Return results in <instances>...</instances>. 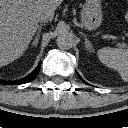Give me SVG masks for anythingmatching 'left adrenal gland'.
Masks as SVG:
<instances>
[{"mask_svg":"<svg viewBox=\"0 0 128 128\" xmlns=\"http://www.w3.org/2000/svg\"><path fill=\"white\" fill-rule=\"evenodd\" d=\"M81 35H83L84 39H85V46L88 50L92 51L93 47L91 45V42L88 40L87 36L81 32Z\"/></svg>","mask_w":128,"mask_h":128,"instance_id":"a2214340","label":"left adrenal gland"}]
</instances>
